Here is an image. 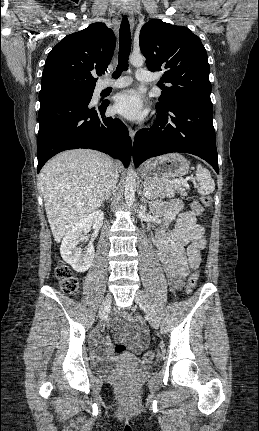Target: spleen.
<instances>
[{
    "instance_id": "1",
    "label": "spleen",
    "mask_w": 259,
    "mask_h": 431,
    "mask_svg": "<svg viewBox=\"0 0 259 431\" xmlns=\"http://www.w3.org/2000/svg\"><path fill=\"white\" fill-rule=\"evenodd\" d=\"M196 179L198 181L199 194L208 195L215 190V182L212 179L209 170L202 167L201 164L197 165Z\"/></svg>"
}]
</instances>
